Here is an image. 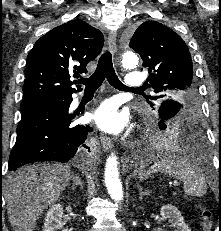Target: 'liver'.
I'll list each match as a JSON object with an SVG mask.
<instances>
[{"label":"liver","instance_id":"1","mask_svg":"<svg viewBox=\"0 0 221 231\" xmlns=\"http://www.w3.org/2000/svg\"><path fill=\"white\" fill-rule=\"evenodd\" d=\"M71 179L68 165L49 163L21 167L9 176L4 196L14 231H33L41 214L60 198Z\"/></svg>","mask_w":221,"mask_h":231}]
</instances>
